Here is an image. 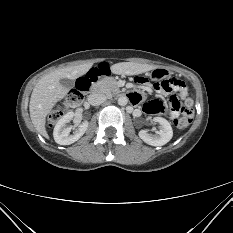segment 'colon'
<instances>
[{"label":"colon","instance_id":"obj_1","mask_svg":"<svg viewBox=\"0 0 233 233\" xmlns=\"http://www.w3.org/2000/svg\"><path fill=\"white\" fill-rule=\"evenodd\" d=\"M177 79L179 78L162 80L157 84V88L170 90L171 85L179 84ZM136 80L137 82H143L144 79L137 77ZM89 84L85 77L77 81L76 87L69 92L66 99L48 115L49 126L56 124L66 110L79 105L83 101L84 93L88 90ZM192 105V100L186 99L184 102H181L178 96H173L168 105L158 100L150 101L147 104L152 113H161L167 110L177 111L178 115L173 120V124L177 129H184L190 125L193 118Z\"/></svg>","mask_w":233,"mask_h":233}]
</instances>
